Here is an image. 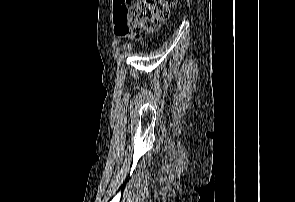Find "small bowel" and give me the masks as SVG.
<instances>
[{
    "label": "small bowel",
    "instance_id": "c3829d8e",
    "mask_svg": "<svg viewBox=\"0 0 295 202\" xmlns=\"http://www.w3.org/2000/svg\"><path fill=\"white\" fill-rule=\"evenodd\" d=\"M127 4V0H113V7L116 12L124 9Z\"/></svg>",
    "mask_w": 295,
    "mask_h": 202
}]
</instances>
